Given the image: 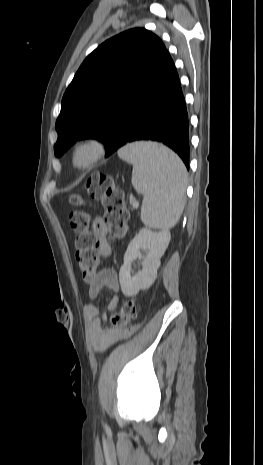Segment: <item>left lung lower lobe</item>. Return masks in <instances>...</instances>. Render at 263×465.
Wrapping results in <instances>:
<instances>
[{
  "mask_svg": "<svg viewBox=\"0 0 263 465\" xmlns=\"http://www.w3.org/2000/svg\"><path fill=\"white\" fill-rule=\"evenodd\" d=\"M137 140L165 144L189 169L188 114L175 65L166 49L139 80L105 156Z\"/></svg>",
  "mask_w": 263,
  "mask_h": 465,
  "instance_id": "1",
  "label": "left lung lower lobe"
}]
</instances>
